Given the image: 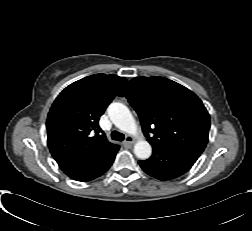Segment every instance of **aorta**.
Instances as JSON below:
<instances>
[{"label": "aorta", "instance_id": "aorta-1", "mask_svg": "<svg viewBox=\"0 0 252 231\" xmlns=\"http://www.w3.org/2000/svg\"><path fill=\"white\" fill-rule=\"evenodd\" d=\"M108 115L112 123L120 130L137 135L138 128L134 117L127 106L122 103L114 102L108 107ZM152 147L148 141L140 139L134 145V154L141 160H146L151 156Z\"/></svg>", "mask_w": 252, "mask_h": 231}]
</instances>
